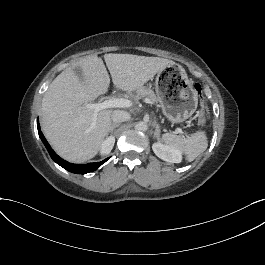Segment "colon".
I'll use <instances>...</instances> for the list:
<instances>
[{"mask_svg": "<svg viewBox=\"0 0 265 265\" xmlns=\"http://www.w3.org/2000/svg\"><path fill=\"white\" fill-rule=\"evenodd\" d=\"M195 90L198 93L199 97H200V107L198 110V121L200 123V125L205 126L206 122H207V108H206V104L203 100V96H202V90L201 87L196 84L195 85Z\"/></svg>", "mask_w": 265, "mask_h": 265, "instance_id": "1", "label": "colon"}]
</instances>
